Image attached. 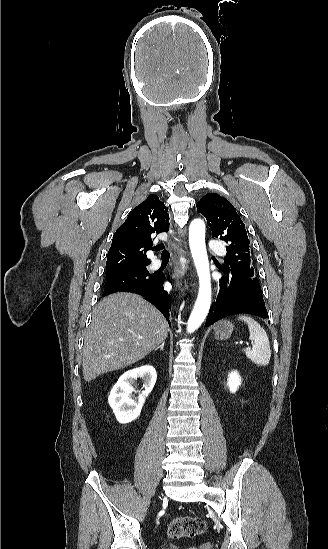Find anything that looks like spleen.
Masks as SVG:
<instances>
[{"label":"spleen","mask_w":328,"mask_h":549,"mask_svg":"<svg viewBox=\"0 0 328 549\" xmlns=\"http://www.w3.org/2000/svg\"><path fill=\"white\" fill-rule=\"evenodd\" d=\"M237 319L246 323L249 329V339L254 343L252 349H245L246 357L258 367H266L271 357L270 343L266 331L248 315H239Z\"/></svg>","instance_id":"obj_1"}]
</instances>
